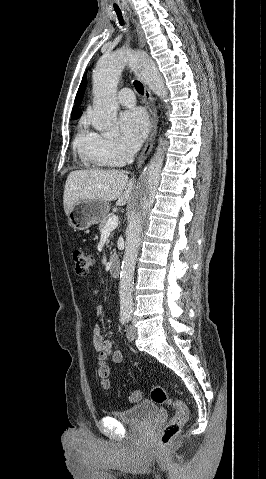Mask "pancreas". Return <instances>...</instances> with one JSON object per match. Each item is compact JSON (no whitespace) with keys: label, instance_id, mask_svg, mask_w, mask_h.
Listing matches in <instances>:
<instances>
[{"label":"pancreas","instance_id":"cf45deb5","mask_svg":"<svg viewBox=\"0 0 266 479\" xmlns=\"http://www.w3.org/2000/svg\"><path fill=\"white\" fill-rule=\"evenodd\" d=\"M112 216H114L113 214H107L101 221H100V224H99V231L102 232V230L104 229L107 221L109 218H111Z\"/></svg>","mask_w":266,"mask_h":479}]
</instances>
